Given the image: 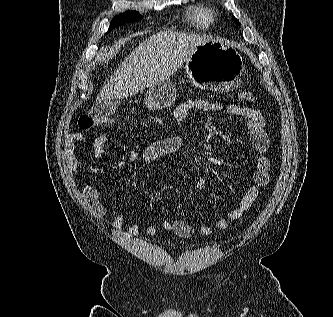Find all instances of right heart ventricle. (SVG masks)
<instances>
[{"instance_id":"obj_1","label":"right heart ventricle","mask_w":333,"mask_h":317,"mask_svg":"<svg viewBox=\"0 0 333 317\" xmlns=\"http://www.w3.org/2000/svg\"><path fill=\"white\" fill-rule=\"evenodd\" d=\"M188 20L197 28H207L214 21V12L204 4H194L188 10Z\"/></svg>"}]
</instances>
